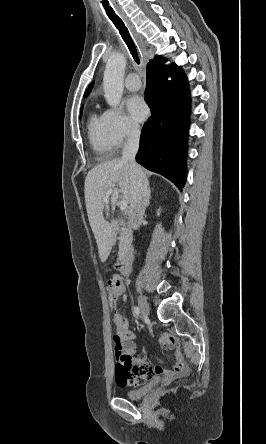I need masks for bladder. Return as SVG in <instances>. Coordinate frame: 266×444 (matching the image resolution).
<instances>
[{
	"mask_svg": "<svg viewBox=\"0 0 266 444\" xmlns=\"http://www.w3.org/2000/svg\"><path fill=\"white\" fill-rule=\"evenodd\" d=\"M158 383V379H153L141 388L126 390L125 395L130 399H141L152 392L153 389L158 385Z\"/></svg>",
	"mask_w": 266,
	"mask_h": 444,
	"instance_id": "1",
	"label": "bladder"
}]
</instances>
